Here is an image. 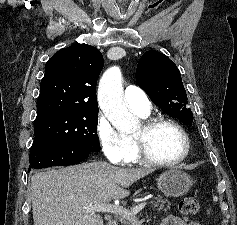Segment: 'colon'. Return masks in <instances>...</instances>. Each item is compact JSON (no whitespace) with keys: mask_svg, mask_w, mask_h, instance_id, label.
I'll return each instance as SVG.
<instances>
[{"mask_svg":"<svg viewBox=\"0 0 237 225\" xmlns=\"http://www.w3.org/2000/svg\"><path fill=\"white\" fill-rule=\"evenodd\" d=\"M179 210L185 216L194 215L199 210V203L194 197H185L179 203Z\"/></svg>","mask_w":237,"mask_h":225,"instance_id":"1","label":"colon"}]
</instances>
